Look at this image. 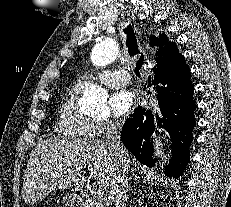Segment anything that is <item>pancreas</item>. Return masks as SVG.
Here are the masks:
<instances>
[{
	"instance_id": "1",
	"label": "pancreas",
	"mask_w": 231,
	"mask_h": 207,
	"mask_svg": "<svg viewBox=\"0 0 231 207\" xmlns=\"http://www.w3.org/2000/svg\"><path fill=\"white\" fill-rule=\"evenodd\" d=\"M93 207H104V205L101 202L94 200Z\"/></svg>"
}]
</instances>
